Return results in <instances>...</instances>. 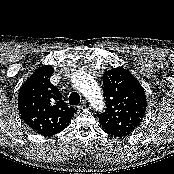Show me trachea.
<instances>
[{
	"instance_id": "trachea-1",
	"label": "trachea",
	"mask_w": 174,
	"mask_h": 174,
	"mask_svg": "<svg viewBox=\"0 0 174 174\" xmlns=\"http://www.w3.org/2000/svg\"><path fill=\"white\" fill-rule=\"evenodd\" d=\"M79 103H80V95L77 92H72L69 96V104L79 105Z\"/></svg>"
}]
</instances>
